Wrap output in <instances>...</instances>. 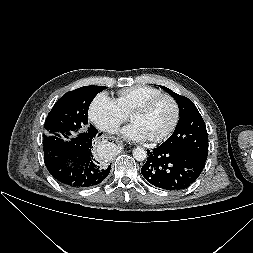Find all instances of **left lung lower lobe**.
<instances>
[{"label": "left lung lower lobe", "mask_w": 253, "mask_h": 253, "mask_svg": "<svg viewBox=\"0 0 253 253\" xmlns=\"http://www.w3.org/2000/svg\"><path fill=\"white\" fill-rule=\"evenodd\" d=\"M149 157L141 174L152 185L166 190L189 187L204 168V160L195 155L162 145L147 151Z\"/></svg>", "instance_id": "1"}]
</instances>
